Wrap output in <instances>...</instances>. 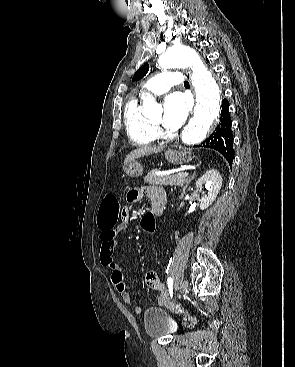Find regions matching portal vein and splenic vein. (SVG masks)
Masks as SVG:
<instances>
[{"mask_svg":"<svg viewBox=\"0 0 295 367\" xmlns=\"http://www.w3.org/2000/svg\"><path fill=\"white\" fill-rule=\"evenodd\" d=\"M179 175L182 176V177H186V176L189 175V173L188 172H182V173H179Z\"/></svg>","mask_w":295,"mask_h":367,"instance_id":"obj_1","label":"portal vein and splenic vein"}]
</instances>
